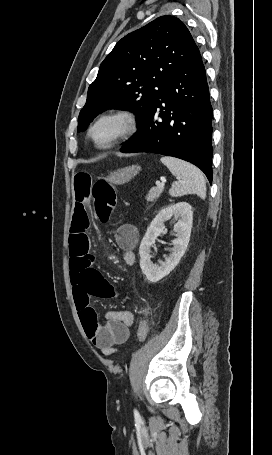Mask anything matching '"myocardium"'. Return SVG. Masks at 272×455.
Masks as SVG:
<instances>
[{"instance_id": "obj_1", "label": "myocardium", "mask_w": 272, "mask_h": 455, "mask_svg": "<svg viewBox=\"0 0 272 455\" xmlns=\"http://www.w3.org/2000/svg\"><path fill=\"white\" fill-rule=\"evenodd\" d=\"M105 121L118 122L119 130L118 133L107 143L98 144L93 138V131L99 124ZM138 129V117L132 110L127 108L110 109L100 113L92 121L87 130V137L96 149L109 150L132 137L138 131Z\"/></svg>"}]
</instances>
